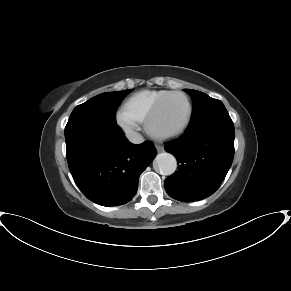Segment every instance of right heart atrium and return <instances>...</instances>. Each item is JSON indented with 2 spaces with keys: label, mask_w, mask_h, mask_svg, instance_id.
Instances as JSON below:
<instances>
[{
  "label": "right heart atrium",
  "mask_w": 291,
  "mask_h": 291,
  "mask_svg": "<svg viewBox=\"0 0 291 291\" xmlns=\"http://www.w3.org/2000/svg\"><path fill=\"white\" fill-rule=\"evenodd\" d=\"M116 122L127 134L135 131L139 124L138 119L124 108L118 110L116 114Z\"/></svg>",
  "instance_id": "1"
}]
</instances>
